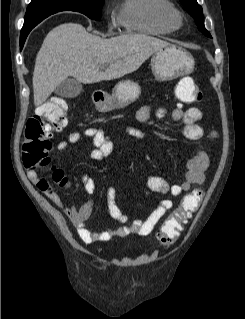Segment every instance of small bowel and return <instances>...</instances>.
I'll return each instance as SVG.
<instances>
[{"mask_svg":"<svg viewBox=\"0 0 245 319\" xmlns=\"http://www.w3.org/2000/svg\"><path fill=\"white\" fill-rule=\"evenodd\" d=\"M193 81L189 77H184L180 80L178 86H193ZM165 112L158 111L157 116L162 118ZM152 115L149 106L141 107L136 118L140 123L147 122ZM172 119L175 121H182L184 123L183 135L186 139L196 141L204 138L206 133L204 129L198 124L202 118L201 111L196 107L184 109L177 107L172 111ZM124 133L128 136L138 140L146 141L145 133L135 127H124ZM83 135L89 137L93 141V147L86 153V157L93 161H101L111 154L113 151V143L111 139L101 130L94 127H87L83 131ZM212 137V135H208ZM81 138V133L71 132L66 140H62L57 144V150L60 152L66 151L71 144L78 142ZM209 166V154L201 148L193 156L186 160V171L184 173V180L179 184L170 185L165 179L158 176H153L147 179V188L156 193L170 194L173 197L180 196L191 190L194 186L201 184L205 178V172ZM29 178L37 183L39 181L34 171H28ZM81 183L88 195L94 193L95 179L89 175L82 174ZM45 194L52 200V202L60 207L63 213L70 219L79 238L86 244L105 242L111 239L113 235L119 237H127L132 234L149 235L153 232L155 226L160 219L173 207L171 199L162 200L159 205L152 211V213L145 220L128 221L126 215L122 213L116 203V189L109 186L106 189V199L109 214L114 219L118 220L124 226L112 231L104 229L101 231L93 232L87 227V221L93 214V204L88 199L81 206H65L55 191H44Z\"/></svg>","mask_w":245,"mask_h":319,"instance_id":"c3829d8e","label":"small bowel"}]
</instances>
